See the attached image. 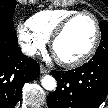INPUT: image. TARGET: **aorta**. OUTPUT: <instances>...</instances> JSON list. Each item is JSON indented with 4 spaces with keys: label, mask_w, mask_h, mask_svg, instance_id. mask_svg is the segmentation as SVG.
Wrapping results in <instances>:
<instances>
[{
    "label": "aorta",
    "mask_w": 108,
    "mask_h": 108,
    "mask_svg": "<svg viewBox=\"0 0 108 108\" xmlns=\"http://www.w3.org/2000/svg\"><path fill=\"white\" fill-rule=\"evenodd\" d=\"M41 84H42L43 88H45L46 90H49V91L54 90L57 86L55 78L50 75H45L41 80Z\"/></svg>",
    "instance_id": "762f6f07"
}]
</instances>
